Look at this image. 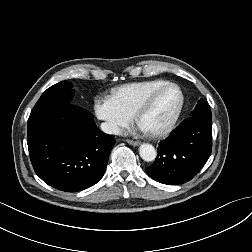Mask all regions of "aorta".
<instances>
[{
	"instance_id": "1",
	"label": "aorta",
	"mask_w": 252,
	"mask_h": 252,
	"mask_svg": "<svg viewBox=\"0 0 252 252\" xmlns=\"http://www.w3.org/2000/svg\"><path fill=\"white\" fill-rule=\"evenodd\" d=\"M139 154L140 157L147 162L154 161L157 155L155 148L148 143L141 144Z\"/></svg>"
}]
</instances>
